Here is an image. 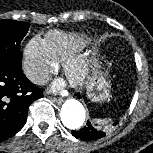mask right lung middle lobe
Wrapping results in <instances>:
<instances>
[{
	"label": "right lung middle lobe",
	"instance_id": "obj_1",
	"mask_svg": "<svg viewBox=\"0 0 153 153\" xmlns=\"http://www.w3.org/2000/svg\"><path fill=\"white\" fill-rule=\"evenodd\" d=\"M30 24L15 20H0V60L22 65L20 43Z\"/></svg>",
	"mask_w": 153,
	"mask_h": 153
}]
</instances>
